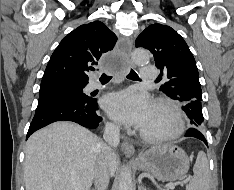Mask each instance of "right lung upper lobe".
<instances>
[{
	"instance_id": "obj_1",
	"label": "right lung upper lobe",
	"mask_w": 234,
	"mask_h": 190,
	"mask_svg": "<svg viewBox=\"0 0 234 190\" xmlns=\"http://www.w3.org/2000/svg\"><path fill=\"white\" fill-rule=\"evenodd\" d=\"M116 41V35L100 21L79 26L64 37L55 49L42 81H88L87 72L97 65L104 53L113 49Z\"/></svg>"
}]
</instances>
